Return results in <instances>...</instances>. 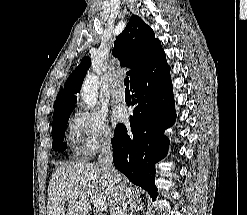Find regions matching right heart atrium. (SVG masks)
Listing matches in <instances>:
<instances>
[{"instance_id":"1","label":"right heart atrium","mask_w":247,"mask_h":215,"mask_svg":"<svg viewBox=\"0 0 247 215\" xmlns=\"http://www.w3.org/2000/svg\"><path fill=\"white\" fill-rule=\"evenodd\" d=\"M69 133L81 156H90L100 148L108 146L113 132L107 124L105 115L86 108L74 112L69 121Z\"/></svg>"}]
</instances>
